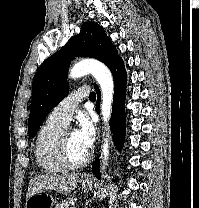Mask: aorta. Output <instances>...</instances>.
I'll return each mask as SVG.
<instances>
[{
	"mask_svg": "<svg viewBox=\"0 0 199 208\" xmlns=\"http://www.w3.org/2000/svg\"><path fill=\"white\" fill-rule=\"evenodd\" d=\"M89 73H91L98 82L102 93L101 115L106 130V136L103 140L104 143L102 144V152H101L102 154L101 170L103 172L105 166L107 165L109 149H110L109 135L107 131H108V123L112 110L114 81L112 74L110 70L107 68V66L93 59L83 60L80 63L75 64L70 70L69 76L73 79H76L85 76L86 74Z\"/></svg>",
	"mask_w": 199,
	"mask_h": 208,
	"instance_id": "aorta-1",
	"label": "aorta"
}]
</instances>
